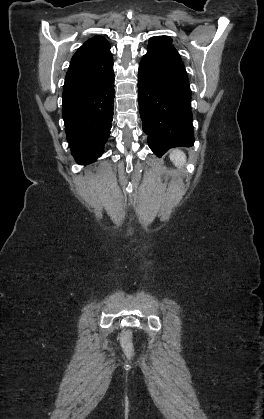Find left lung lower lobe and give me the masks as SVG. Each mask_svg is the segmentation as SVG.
<instances>
[{
	"mask_svg": "<svg viewBox=\"0 0 264 419\" xmlns=\"http://www.w3.org/2000/svg\"><path fill=\"white\" fill-rule=\"evenodd\" d=\"M138 92L142 128L155 155L194 144L189 81L169 37L149 40L139 65Z\"/></svg>",
	"mask_w": 264,
	"mask_h": 419,
	"instance_id": "0a47b994",
	"label": "left lung lower lobe"
}]
</instances>
